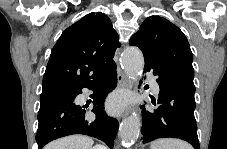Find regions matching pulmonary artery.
Masks as SVG:
<instances>
[{"label": "pulmonary artery", "mask_w": 227, "mask_h": 149, "mask_svg": "<svg viewBox=\"0 0 227 149\" xmlns=\"http://www.w3.org/2000/svg\"><path fill=\"white\" fill-rule=\"evenodd\" d=\"M150 84H151V89H152L153 93L158 94L159 93V86H158V83L156 82V80L151 78Z\"/></svg>", "instance_id": "1"}]
</instances>
